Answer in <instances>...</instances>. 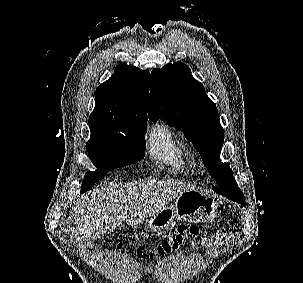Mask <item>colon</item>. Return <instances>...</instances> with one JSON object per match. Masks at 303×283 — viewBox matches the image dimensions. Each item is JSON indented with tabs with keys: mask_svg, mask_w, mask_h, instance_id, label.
<instances>
[{
	"mask_svg": "<svg viewBox=\"0 0 303 283\" xmlns=\"http://www.w3.org/2000/svg\"><path fill=\"white\" fill-rule=\"evenodd\" d=\"M200 232L193 226H182L176 234L159 242L155 247L142 250H137L139 257H155L170 253L179 249L186 241H195L199 239ZM121 248V246H119Z\"/></svg>",
	"mask_w": 303,
	"mask_h": 283,
	"instance_id": "5ec220e1",
	"label": "colon"
}]
</instances>
